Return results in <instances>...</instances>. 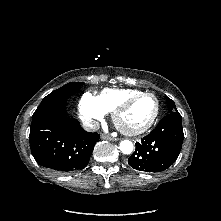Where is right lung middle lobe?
I'll use <instances>...</instances> for the list:
<instances>
[{
    "instance_id": "right-lung-middle-lobe-1",
    "label": "right lung middle lobe",
    "mask_w": 221,
    "mask_h": 221,
    "mask_svg": "<svg viewBox=\"0 0 221 221\" xmlns=\"http://www.w3.org/2000/svg\"><path fill=\"white\" fill-rule=\"evenodd\" d=\"M83 84V82H70L62 86L61 88L53 91L42 100L41 104L39 105L36 111L46 106L65 101L75 92H77Z\"/></svg>"
}]
</instances>
